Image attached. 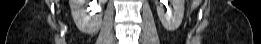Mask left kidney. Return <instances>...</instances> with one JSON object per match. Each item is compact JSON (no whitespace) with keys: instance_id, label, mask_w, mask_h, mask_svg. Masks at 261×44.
Listing matches in <instances>:
<instances>
[{"instance_id":"1","label":"left kidney","mask_w":261,"mask_h":44,"mask_svg":"<svg viewBox=\"0 0 261 44\" xmlns=\"http://www.w3.org/2000/svg\"><path fill=\"white\" fill-rule=\"evenodd\" d=\"M165 1L160 0L161 3H165ZM157 14L166 30H176L184 17V0H172V8L167 12L164 11L162 4L157 5Z\"/></svg>"}]
</instances>
